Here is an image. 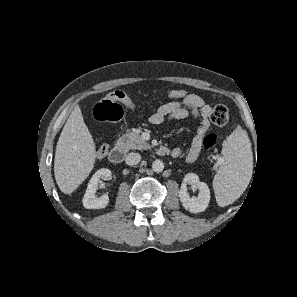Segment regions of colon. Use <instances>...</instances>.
<instances>
[{"mask_svg":"<svg viewBox=\"0 0 297 297\" xmlns=\"http://www.w3.org/2000/svg\"><path fill=\"white\" fill-rule=\"evenodd\" d=\"M188 92L184 89L170 90L167 94L169 99L180 100L185 98ZM123 105L133 104L130 97L122 91H114L107 97L103 98L94 109L95 119L100 123H121L123 119ZM210 120L216 126H223L229 120V109L226 105H216L210 115ZM217 141L215 134H210L204 139V147L211 149ZM109 145L107 143L101 144L97 149V156L103 158L108 154Z\"/></svg>","mask_w":297,"mask_h":297,"instance_id":"obj_1","label":"colon"}]
</instances>
